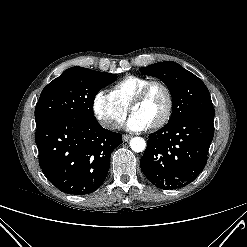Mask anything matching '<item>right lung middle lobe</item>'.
Listing matches in <instances>:
<instances>
[{
    "mask_svg": "<svg viewBox=\"0 0 247 247\" xmlns=\"http://www.w3.org/2000/svg\"><path fill=\"white\" fill-rule=\"evenodd\" d=\"M117 76L72 67L51 81L42 91L35 108L36 126L54 119H93V102L98 91Z\"/></svg>",
    "mask_w": 247,
    "mask_h": 247,
    "instance_id": "obj_1",
    "label": "right lung middle lobe"
}]
</instances>
